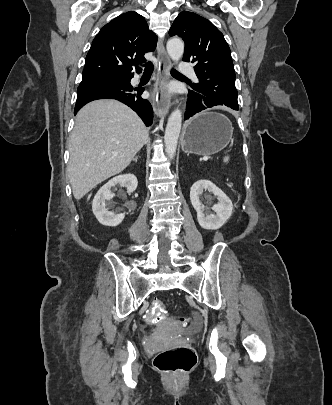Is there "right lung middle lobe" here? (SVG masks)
I'll list each match as a JSON object with an SVG mask.
<instances>
[{"instance_id":"1","label":"right lung middle lobe","mask_w":332,"mask_h":405,"mask_svg":"<svg viewBox=\"0 0 332 405\" xmlns=\"http://www.w3.org/2000/svg\"><path fill=\"white\" fill-rule=\"evenodd\" d=\"M126 77L123 76H116V75H104V76H92V77H83L80 84H85L92 81H99V80H112V81H122Z\"/></svg>"}]
</instances>
